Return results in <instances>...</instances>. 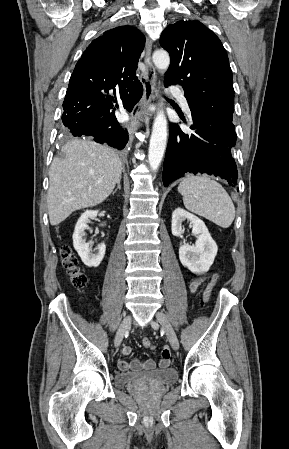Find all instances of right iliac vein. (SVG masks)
I'll return each mask as SVG.
<instances>
[{
	"mask_svg": "<svg viewBox=\"0 0 289 449\" xmlns=\"http://www.w3.org/2000/svg\"><path fill=\"white\" fill-rule=\"evenodd\" d=\"M131 321H132V318L130 315L126 316L123 319L122 323L120 324V326L117 330L116 336H115V340H114L115 347L120 346V344L123 340V337L131 324Z\"/></svg>",
	"mask_w": 289,
	"mask_h": 449,
	"instance_id": "obj_1",
	"label": "right iliac vein"
}]
</instances>
